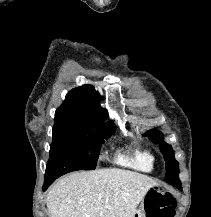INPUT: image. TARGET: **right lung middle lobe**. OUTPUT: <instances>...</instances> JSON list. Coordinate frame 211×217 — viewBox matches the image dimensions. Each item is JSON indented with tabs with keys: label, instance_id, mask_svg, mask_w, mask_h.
I'll use <instances>...</instances> for the list:
<instances>
[{
	"label": "right lung middle lobe",
	"instance_id": "right-lung-middle-lobe-1",
	"mask_svg": "<svg viewBox=\"0 0 211 217\" xmlns=\"http://www.w3.org/2000/svg\"><path fill=\"white\" fill-rule=\"evenodd\" d=\"M114 131V127L102 129L93 125L54 123L45 179L95 169L100 146Z\"/></svg>",
	"mask_w": 211,
	"mask_h": 217
}]
</instances>
